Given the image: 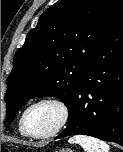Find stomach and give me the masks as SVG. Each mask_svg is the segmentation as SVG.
Wrapping results in <instances>:
<instances>
[{"mask_svg":"<svg viewBox=\"0 0 123 152\" xmlns=\"http://www.w3.org/2000/svg\"><path fill=\"white\" fill-rule=\"evenodd\" d=\"M59 152H73V151L70 149H61Z\"/></svg>","mask_w":123,"mask_h":152,"instance_id":"obj_1","label":"stomach"}]
</instances>
